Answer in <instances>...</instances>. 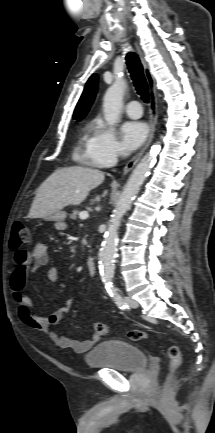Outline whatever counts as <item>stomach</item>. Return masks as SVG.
Returning <instances> with one entry per match:
<instances>
[{
	"instance_id": "1",
	"label": "stomach",
	"mask_w": 215,
	"mask_h": 433,
	"mask_svg": "<svg viewBox=\"0 0 215 433\" xmlns=\"http://www.w3.org/2000/svg\"><path fill=\"white\" fill-rule=\"evenodd\" d=\"M66 213L64 211H58L52 215H50L47 219L56 221L58 223H62L65 220Z\"/></svg>"
}]
</instances>
